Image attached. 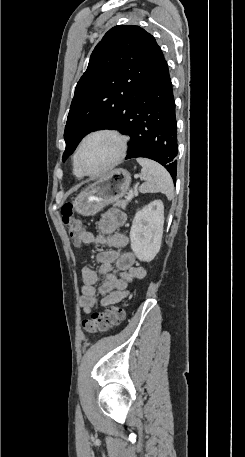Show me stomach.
Wrapping results in <instances>:
<instances>
[{"label":"stomach","instance_id":"obj_1","mask_svg":"<svg viewBox=\"0 0 245 457\" xmlns=\"http://www.w3.org/2000/svg\"><path fill=\"white\" fill-rule=\"evenodd\" d=\"M130 182L131 174L126 168H113L99 180L84 188L73 200V206L76 212L84 216L96 214L107 204L120 200L126 194Z\"/></svg>","mask_w":245,"mask_h":457}]
</instances>
